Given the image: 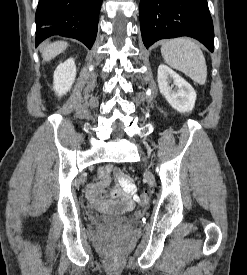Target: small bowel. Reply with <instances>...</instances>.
Listing matches in <instances>:
<instances>
[{
    "instance_id": "c3829d8e",
    "label": "small bowel",
    "mask_w": 247,
    "mask_h": 275,
    "mask_svg": "<svg viewBox=\"0 0 247 275\" xmlns=\"http://www.w3.org/2000/svg\"><path fill=\"white\" fill-rule=\"evenodd\" d=\"M111 172L112 167L107 166L104 177L86 187V195L95 206L104 208L108 205V202L104 199L103 195L108 192L119 207L123 210H130L137 198L136 187L131 179L118 169L114 170L116 185L110 187L112 180Z\"/></svg>"
}]
</instances>
